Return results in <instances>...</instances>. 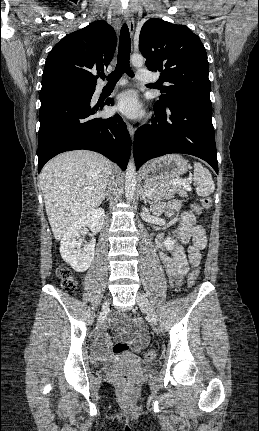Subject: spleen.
Instances as JSON below:
<instances>
[{"instance_id": "obj_1", "label": "spleen", "mask_w": 259, "mask_h": 431, "mask_svg": "<svg viewBox=\"0 0 259 431\" xmlns=\"http://www.w3.org/2000/svg\"><path fill=\"white\" fill-rule=\"evenodd\" d=\"M194 180L198 196L205 197L214 192L215 184L211 173L199 162H194Z\"/></svg>"}]
</instances>
